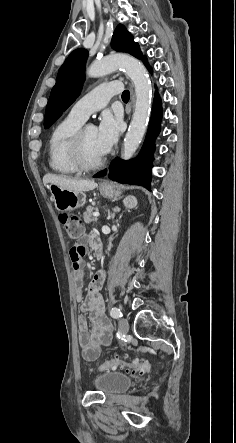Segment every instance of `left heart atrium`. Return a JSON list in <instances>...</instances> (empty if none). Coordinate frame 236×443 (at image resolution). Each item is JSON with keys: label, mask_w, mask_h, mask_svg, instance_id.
Instances as JSON below:
<instances>
[{"label": "left heart atrium", "mask_w": 236, "mask_h": 443, "mask_svg": "<svg viewBox=\"0 0 236 443\" xmlns=\"http://www.w3.org/2000/svg\"><path fill=\"white\" fill-rule=\"evenodd\" d=\"M121 123L110 112L103 113L96 128L97 142L102 154H106L115 144L120 133Z\"/></svg>", "instance_id": "obj_1"}]
</instances>
